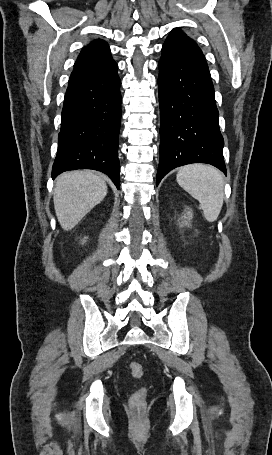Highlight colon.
<instances>
[{
	"instance_id": "5ec220e1",
	"label": "colon",
	"mask_w": 272,
	"mask_h": 455,
	"mask_svg": "<svg viewBox=\"0 0 272 455\" xmlns=\"http://www.w3.org/2000/svg\"><path fill=\"white\" fill-rule=\"evenodd\" d=\"M129 370L135 378H141L144 373L142 365L138 362H131L129 364ZM145 395H146L145 388L139 389L132 395L130 402L135 412L139 413L140 410L142 409L145 401Z\"/></svg>"
}]
</instances>
